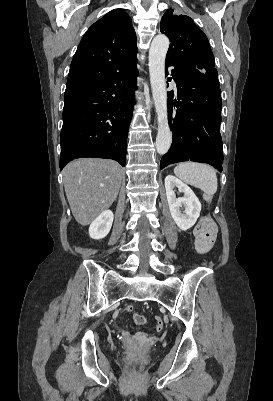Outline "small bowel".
<instances>
[{
	"label": "small bowel",
	"instance_id": "c3829d8e",
	"mask_svg": "<svg viewBox=\"0 0 273 401\" xmlns=\"http://www.w3.org/2000/svg\"><path fill=\"white\" fill-rule=\"evenodd\" d=\"M196 234V233H195ZM197 236V235H196ZM213 241H196V247L198 249V251L200 253H206L210 250L211 246H212ZM126 312L127 313H132L133 312V307L132 306H127L126 307ZM135 321H138L136 318H134ZM142 321H146V319H143ZM155 332L157 334H160L162 332V324H163V319L158 317L155 319ZM122 337L123 338H128L130 336V333L128 331H123L122 332ZM149 336V333L147 331H141L140 335L138 336V338H147Z\"/></svg>",
	"mask_w": 273,
	"mask_h": 401
}]
</instances>
